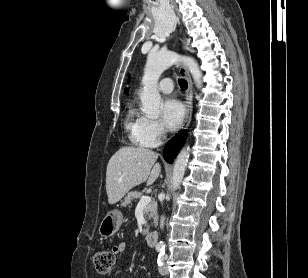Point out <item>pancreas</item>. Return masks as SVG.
Masks as SVG:
<instances>
[{"instance_id":"1","label":"pancreas","mask_w":308,"mask_h":278,"mask_svg":"<svg viewBox=\"0 0 308 278\" xmlns=\"http://www.w3.org/2000/svg\"><path fill=\"white\" fill-rule=\"evenodd\" d=\"M142 195L141 192L131 191L127 194V196L122 201V206L129 205L134 199H138ZM144 214L147 217V220H153L154 223L157 222V204L155 201L147 204L144 207ZM147 230H149V225L147 224Z\"/></svg>"}]
</instances>
